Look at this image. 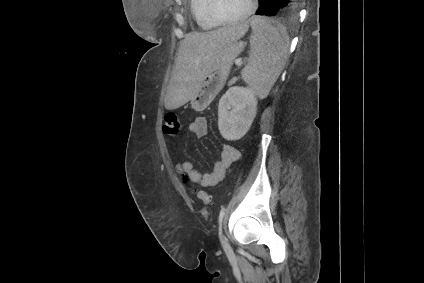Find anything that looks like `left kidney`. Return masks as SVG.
I'll use <instances>...</instances> for the list:
<instances>
[{"label": "left kidney", "instance_id": "5707ae66", "mask_svg": "<svg viewBox=\"0 0 424 283\" xmlns=\"http://www.w3.org/2000/svg\"><path fill=\"white\" fill-rule=\"evenodd\" d=\"M257 112L255 91L248 87L230 88L218 105V128L226 140H239L250 129Z\"/></svg>", "mask_w": 424, "mask_h": 283}]
</instances>
